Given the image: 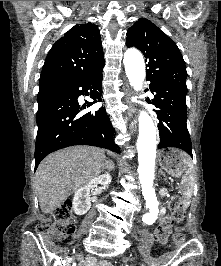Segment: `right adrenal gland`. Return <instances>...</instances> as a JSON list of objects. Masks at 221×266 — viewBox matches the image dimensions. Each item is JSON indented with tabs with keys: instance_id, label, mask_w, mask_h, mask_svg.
<instances>
[{
	"instance_id": "obj_1",
	"label": "right adrenal gland",
	"mask_w": 221,
	"mask_h": 266,
	"mask_svg": "<svg viewBox=\"0 0 221 266\" xmlns=\"http://www.w3.org/2000/svg\"><path fill=\"white\" fill-rule=\"evenodd\" d=\"M107 169H108L109 171H112V170H114V166L111 165L110 167H107Z\"/></svg>"
}]
</instances>
